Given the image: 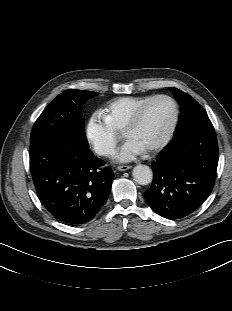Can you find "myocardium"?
I'll return each mask as SVG.
<instances>
[{
  "label": "myocardium",
  "mask_w": 232,
  "mask_h": 311,
  "mask_svg": "<svg viewBox=\"0 0 232 311\" xmlns=\"http://www.w3.org/2000/svg\"><path fill=\"white\" fill-rule=\"evenodd\" d=\"M160 99L168 100L172 104V107H173L172 121H171L166 133L163 135V137L157 143H155L151 147L147 148L146 152H155V151L163 148L169 142V140L171 139V137H172V135L176 129L178 119H179V108H178L176 101L172 97H170L168 95L160 94V95H155V96H152L151 98H149L141 106L138 107V109L135 111V113L131 117L130 121L128 122V124L126 125V127L123 130V135H124V137L127 138V135L140 123V121L142 120L144 113L147 110V108L153 102L160 100Z\"/></svg>",
  "instance_id": "myocardium-1"
}]
</instances>
